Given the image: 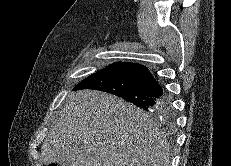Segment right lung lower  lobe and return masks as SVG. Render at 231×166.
<instances>
[{
  "label": "right lung lower lobe",
  "mask_w": 231,
  "mask_h": 166,
  "mask_svg": "<svg viewBox=\"0 0 231 166\" xmlns=\"http://www.w3.org/2000/svg\"><path fill=\"white\" fill-rule=\"evenodd\" d=\"M94 89L114 94L160 116L168 131L175 127L171 100L149 70L138 63L116 62L88 76L74 88Z\"/></svg>",
  "instance_id": "right-lung-lower-lobe-1"
}]
</instances>
